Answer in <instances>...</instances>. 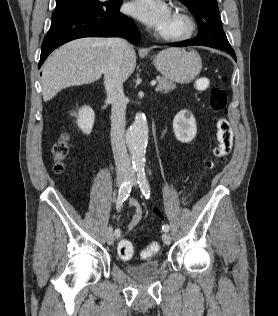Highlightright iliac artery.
<instances>
[{"label":"right iliac artery","mask_w":278,"mask_h":316,"mask_svg":"<svg viewBox=\"0 0 278 316\" xmlns=\"http://www.w3.org/2000/svg\"><path fill=\"white\" fill-rule=\"evenodd\" d=\"M131 191V184L130 182H124L120 189H119V194L116 202V209L119 211L123 205V202L128 198L129 194ZM120 230L116 229L114 231V236L119 237L120 236Z\"/></svg>","instance_id":"right-iliac-artery-1"}]
</instances>
